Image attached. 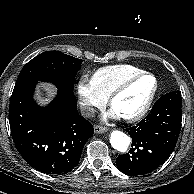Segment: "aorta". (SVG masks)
<instances>
[{
	"label": "aorta",
	"instance_id": "1",
	"mask_svg": "<svg viewBox=\"0 0 194 194\" xmlns=\"http://www.w3.org/2000/svg\"><path fill=\"white\" fill-rule=\"evenodd\" d=\"M111 146L120 152H126L130 145V138L124 132L115 130L110 134Z\"/></svg>",
	"mask_w": 194,
	"mask_h": 194
}]
</instances>
